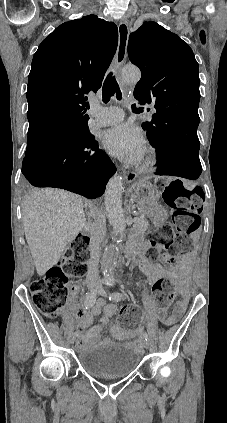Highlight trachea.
<instances>
[{
	"label": "trachea",
	"instance_id": "1",
	"mask_svg": "<svg viewBox=\"0 0 227 423\" xmlns=\"http://www.w3.org/2000/svg\"><path fill=\"white\" fill-rule=\"evenodd\" d=\"M115 94H116L117 100L122 99V93L120 91L119 85L115 77L113 76V73L110 72L108 76L106 77L105 82L103 84V88H102L103 102L104 103L109 102L110 98L113 97V95ZM132 110L137 111L141 109L136 108L135 104H133Z\"/></svg>",
	"mask_w": 227,
	"mask_h": 423
}]
</instances>
